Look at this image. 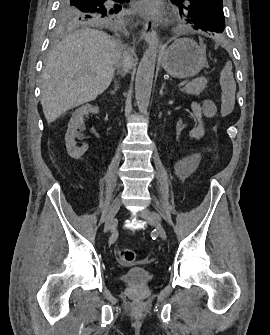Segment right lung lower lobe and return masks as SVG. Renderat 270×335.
<instances>
[{
	"mask_svg": "<svg viewBox=\"0 0 270 335\" xmlns=\"http://www.w3.org/2000/svg\"><path fill=\"white\" fill-rule=\"evenodd\" d=\"M106 1H107V0H106ZM112 1H113V0H112ZM128 1H129V0H119V2H123V3L128 2ZM113 2H114V1H113ZM123 3H121V4H123ZM109 4H112V3H107V4L104 3L105 6H107V5H109ZM114 4H115V2H114ZM121 4H120V5H121ZM112 5H113V4H112Z\"/></svg>",
	"mask_w": 270,
	"mask_h": 335,
	"instance_id": "98d812e1",
	"label": "right lung lower lobe"
}]
</instances>
